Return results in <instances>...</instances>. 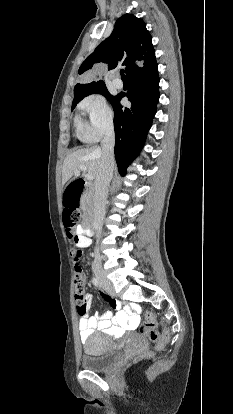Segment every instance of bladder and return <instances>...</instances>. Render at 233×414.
Returning a JSON list of instances; mask_svg holds the SVG:
<instances>
[{
  "mask_svg": "<svg viewBox=\"0 0 233 414\" xmlns=\"http://www.w3.org/2000/svg\"><path fill=\"white\" fill-rule=\"evenodd\" d=\"M84 350L85 353L82 355L80 362L81 367L87 371H106L120 358V351L103 334H96L88 339Z\"/></svg>",
  "mask_w": 233,
  "mask_h": 414,
  "instance_id": "31cf9c89",
  "label": "bladder"
}]
</instances>
